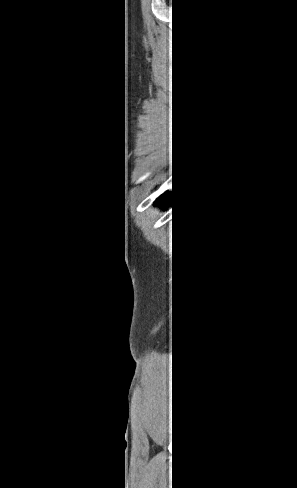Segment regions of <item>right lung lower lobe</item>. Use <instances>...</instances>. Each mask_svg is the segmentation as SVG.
Wrapping results in <instances>:
<instances>
[{
    "instance_id": "98d812e1",
    "label": "right lung lower lobe",
    "mask_w": 297,
    "mask_h": 488,
    "mask_svg": "<svg viewBox=\"0 0 297 488\" xmlns=\"http://www.w3.org/2000/svg\"><path fill=\"white\" fill-rule=\"evenodd\" d=\"M162 186H163L162 187L163 189L166 188L165 187V180H163ZM173 190H174V187L172 186V193H173ZM170 193H171L170 190H164L163 193L155 201V205L156 206H160L161 207V210L163 212L169 210V206H170L169 205L170 204L169 196H170Z\"/></svg>"
}]
</instances>
